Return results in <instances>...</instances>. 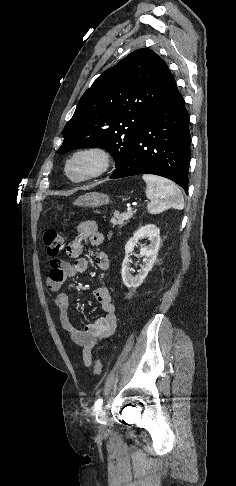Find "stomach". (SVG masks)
Here are the masks:
<instances>
[{
	"instance_id": "0dacf381",
	"label": "stomach",
	"mask_w": 236,
	"mask_h": 486,
	"mask_svg": "<svg viewBox=\"0 0 236 486\" xmlns=\"http://www.w3.org/2000/svg\"><path fill=\"white\" fill-rule=\"evenodd\" d=\"M110 202L108 195L99 192H90L78 197L74 205L97 208Z\"/></svg>"
}]
</instances>
